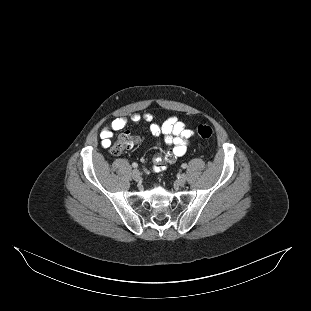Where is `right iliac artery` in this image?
<instances>
[{
    "mask_svg": "<svg viewBox=\"0 0 311 311\" xmlns=\"http://www.w3.org/2000/svg\"><path fill=\"white\" fill-rule=\"evenodd\" d=\"M132 166H133L134 168H137V167H138V164L134 162V163L132 164Z\"/></svg>",
    "mask_w": 311,
    "mask_h": 311,
    "instance_id": "82829eb1",
    "label": "right iliac artery"
}]
</instances>
